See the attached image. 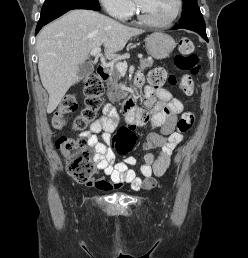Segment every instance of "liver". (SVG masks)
<instances>
[{"mask_svg": "<svg viewBox=\"0 0 248 258\" xmlns=\"http://www.w3.org/2000/svg\"><path fill=\"white\" fill-rule=\"evenodd\" d=\"M144 31L128 27L91 10H73L45 26L37 36L38 69L49 94L52 113L68 89L80 79V66L94 48L105 47L107 58L120 52L128 40Z\"/></svg>", "mask_w": 248, "mask_h": 258, "instance_id": "1", "label": "liver"}]
</instances>
